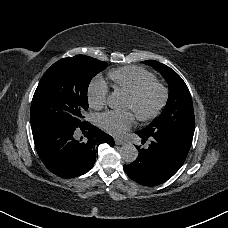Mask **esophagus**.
Masks as SVG:
<instances>
[{
	"label": "esophagus",
	"mask_w": 228,
	"mask_h": 228,
	"mask_svg": "<svg viewBox=\"0 0 228 228\" xmlns=\"http://www.w3.org/2000/svg\"><path fill=\"white\" fill-rule=\"evenodd\" d=\"M115 144L118 146H122V145H125L126 143L120 139H115Z\"/></svg>",
	"instance_id": "34e87169"
}]
</instances>
